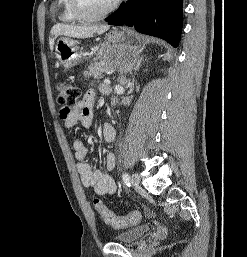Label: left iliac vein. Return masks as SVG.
I'll list each match as a JSON object with an SVG mask.
<instances>
[{
    "label": "left iliac vein",
    "instance_id": "1",
    "mask_svg": "<svg viewBox=\"0 0 247 257\" xmlns=\"http://www.w3.org/2000/svg\"><path fill=\"white\" fill-rule=\"evenodd\" d=\"M131 183L135 188L140 187V176L137 173H133L131 176Z\"/></svg>",
    "mask_w": 247,
    "mask_h": 257
}]
</instances>
